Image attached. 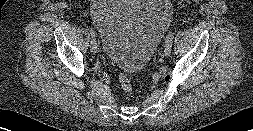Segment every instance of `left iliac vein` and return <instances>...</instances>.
<instances>
[{
  "label": "left iliac vein",
  "mask_w": 253,
  "mask_h": 131,
  "mask_svg": "<svg viewBox=\"0 0 253 131\" xmlns=\"http://www.w3.org/2000/svg\"><path fill=\"white\" fill-rule=\"evenodd\" d=\"M171 46H172L171 43H165V47L163 51V54L165 56H169L171 54V51H172Z\"/></svg>",
  "instance_id": "obj_1"
}]
</instances>
